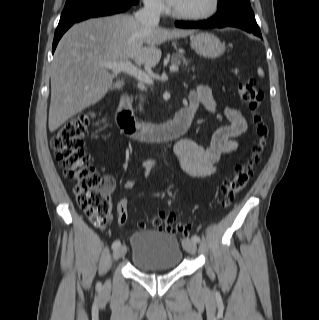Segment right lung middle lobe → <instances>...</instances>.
I'll return each instance as SVG.
<instances>
[{
	"instance_id": "obj_1",
	"label": "right lung middle lobe",
	"mask_w": 319,
	"mask_h": 320,
	"mask_svg": "<svg viewBox=\"0 0 319 320\" xmlns=\"http://www.w3.org/2000/svg\"><path fill=\"white\" fill-rule=\"evenodd\" d=\"M105 1H109V0H67L61 17H65V16L69 15L70 13H73L79 9L84 8V7H87V6H90L93 4H97V3H102ZM130 1H133L136 3L139 2V0H130Z\"/></svg>"
}]
</instances>
